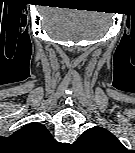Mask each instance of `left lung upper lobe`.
I'll return each mask as SVG.
<instances>
[{"label":"left lung upper lobe","mask_w":135,"mask_h":153,"mask_svg":"<svg viewBox=\"0 0 135 153\" xmlns=\"http://www.w3.org/2000/svg\"><path fill=\"white\" fill-rule=\"evenodd\" d=\"M75 144L89 153H122L126 150L112 133L102 127L86 130Z\"/></svg>","instance_id":"left-lung-upper-lobe-1"}]
</instances>
